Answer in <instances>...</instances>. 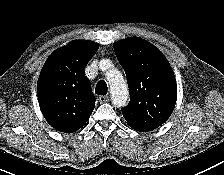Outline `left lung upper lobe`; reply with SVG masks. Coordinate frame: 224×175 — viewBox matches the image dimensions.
I'll list each match as a JSON object with an SVG mask.
<instances>
[{
	"mask_svg": "<svg viewBox=\"0 0 224 175\" xmlns=\"http://www.w3.org/2000/svg\"><path fill=\"white\" fill-rule=\"evenodd\" d=\"M129 86L130 102L122 108L128 125L135 130H153L172 114L177 85L165 56L152 44L127 38L114 44Z\"/></svg>",
	"mask_w": 224,
	"mask_h": 175,
	"instance_id": "1",
	"label": "left lung upper lobe"
}]
</instances>
